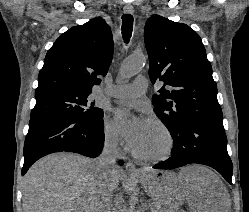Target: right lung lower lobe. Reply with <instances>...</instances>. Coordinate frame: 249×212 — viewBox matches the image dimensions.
<instances>
[{"mask_svg": "<svg viewBox=\"0 0 249 212\" xmlns=\"http://www.w3.org/2000/svg\"><path fill=\"white\" fill-rule=\"evenodd\" d=\"M103 145V118L92 121L62 114L35 116L29 122L21 174L50 153L74 152L94 158L101 153Z\"/></svg>", "mask_w": 249, "mask_h": 212, "instance_id": "98d812e1", "label": "right lung lower lobe"}]
</instances>
